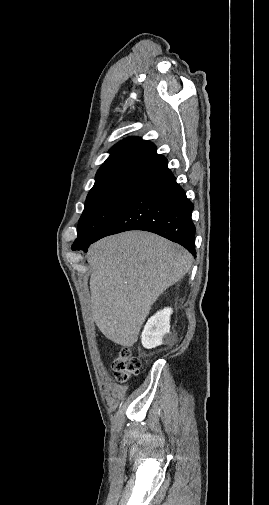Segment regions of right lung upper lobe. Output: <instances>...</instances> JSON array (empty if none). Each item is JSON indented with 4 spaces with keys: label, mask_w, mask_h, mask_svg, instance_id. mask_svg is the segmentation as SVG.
Returning <instances> with one entry per match:
<instances>
[{
    "label": "right lung upper lobe",
    "mask_w": 269,
    "mask_h": 505,
    "mask_svg": "<svg viewBox=\"0 0 269 505\" xmlns=\"http://www.w3.org/2000/svg\"><path fill=\"white\" fill-rule=\"evenodd\" d=\"M156 151L153 143L138 137L120 141L111 148L110 156L99 168L93 188L143 187L168 169L167 159Z\"/></svg>",
    "instance_id": "cb5924a9"
}]
</instances>
